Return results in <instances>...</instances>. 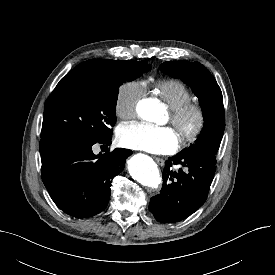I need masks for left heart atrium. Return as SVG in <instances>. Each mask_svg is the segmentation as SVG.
<instances>
[{
  "label": "left heart atrium",
  "instance_id": "39dd6f15",
  "mask_svg": "<svg viewBox=\"0 0 275 275\" xmlns=\"http://www.w3.org/2000/svg\"><path fill=\"white\" fill-rule=\"evenodd\" d=\"M117 141L123 147L156 154L171 153L178 147V137L173 129L145 122L120 125Z\"/></svg>",
  "mask_w": 275,
  "mask_h": 275
}]
</instances>
